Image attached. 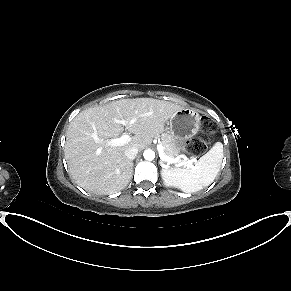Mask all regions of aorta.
<instances>
[{"label":"aorta","instance_id":"aorta-1","mask_svg":"<svg viewBox=\"0 0 291 291\" xmlns=\"http://www.w3.org/2000/svg\"><path fill=\"white\" fill-rule=\"evenodd\" d=\"M144 159L148 161H152L155 158V152L151 149H146L143 153Z\"/></svg>","mask_w":291,"mask_h":291}]
</instances>
